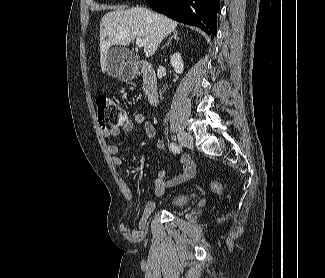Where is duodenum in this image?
<instances>
[{
  "instance_id": "obj_1",
  "label": "duodenum",
  "mask_w": 325,
  "mask_h": 278,
  "mask_svg": "<svg viewBox=\"0 0 325 278\" xmlns=\"http://www.w3.org/2000/svg\"><path fill=\"white\" fill-rule=\"evenodd\" d=\"M135 73L142 78L143 92L146 101L152 106L156 105L159 101V92L153 67L146 62H139L136 66Z\"/></svg>"
}]
</instances>
